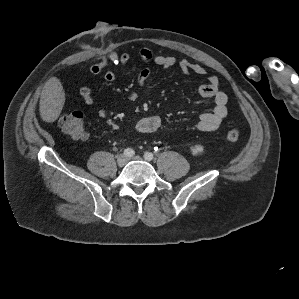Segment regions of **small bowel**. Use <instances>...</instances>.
<instances>
[{
    "mask_svg": "<svg viewBox=\"0 0 299 299\" xmlns=\"http://www.w3.org/2000/svg\"><path fill=\"white\" fill-rule=\"evenodd\" d=\"M138 58L143 63H152L160 67H178L185 74L205 75L206 69L196 63H192L187 59H177L167 55H155L150 49L142 48L138 53ZM133 56L129 53L121 55L112 54L108 59H104L89 69L90 76H96L104 72L106 81L112 82L116 78L113 70L109 69L110 65H126L133 60ZM151 71L149 68L143 69L138 77V84L140 87H145ZM198 93L204 98H212L214 107L210 112L204 113L200 116L198 122L192 127V130L200 132H210L216 130L221 122L228 114V96L219 88V79L216 76L208 77V81L198 88ZM80 96L82 100L90 105L94 103V96L89 87H82L80 89ZM131 99L137 98V93L132 91ZM161 127V119L158 116H147L140 118L135 124V130L139 133L148 134L159 130Z\"/></svg>",
    "mask_w": 299,
    "mask_h": 299,
    "instance_id": "obj_1",
    "label": "small bowel"
}]
</instances>
